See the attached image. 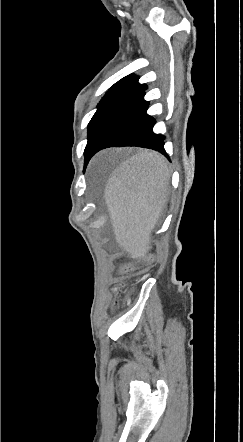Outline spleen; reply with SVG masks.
I'll list each match as a JSON object with an SVG mask.
<instances>
[{
	"instance_id": "3e777b00",
	"label": "spleen",
	"mask_w": 243,
	"mask_h": 442,
	"mask_svg": "<svg viewBox=\"0 0 243 442\" xmlns=\"http://www.w3.org/2000/svg\"><path fill=\"white\" fill-rule=\"evenodd\" d=\"M164 168V160L157 153L143 151L123 162L113 178L106 179V186L112 189L108 194L111 224L121 240L139 243L148 238L153 219L161 214L159 202H164L165 196L135 192H164L161 180Z\"/></svg>"
}]
</instances>
